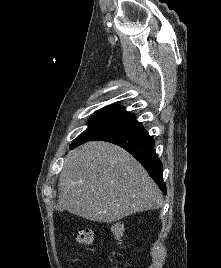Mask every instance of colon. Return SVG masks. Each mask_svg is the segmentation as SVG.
<instances>
[{"label":"colon","instance_id":"colon-1","mask_svg":"<svg viewBox=\"0 0 221 268\" xmlns=\"http://www.w3.org/2000/svg\"><path fill=\"white\" fill-rule=\"evenodd\" d=\"M112 233L116 239L121 240L124 237L125 229L122 223H115L112 225ZM74 237L76 241L83 245H90L94 241V233L90 228L79 229Z\"/></svg>","mask_w":221,"mask_h":268}]
</instances>
